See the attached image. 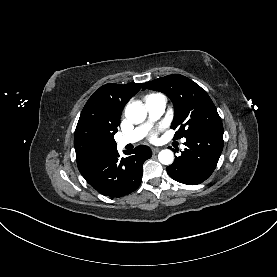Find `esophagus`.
I'll use <instances>...</instances> for the list:
<instances>
[{"label":"esophagus","mask_w":277,"mask_h":277,"mask_svg":"<svg viewBox=\"0 0 277 277\" xmlns=\"http://www.w3.org/2000/svg\"><path fill=\"white\" fill-rule=\"evenodd\" d=\"M159 151H160V148H157V147L152 148L153 153H158Z\"/></svg>","instance_id":"34e87169"}]
</instances>
